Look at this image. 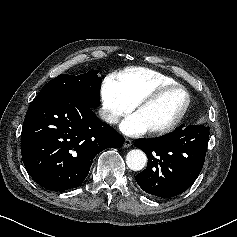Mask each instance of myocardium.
Returning <instances> with one entry per match:
<instances>
[{
  "label": "myocardium",
  "instance_id": "1",
  "mask_svg": "<svg viewBox=\"0 0 237 237\" xmlns=\"http://www.w3.org/2000/svg\"><path fill=\"white\" fill-rule=\"evenodd\" d=\"M172 90H182L185 95H186V101L185 104L183 105L182 109L180 112L176 115V117L167 125L159 128H153L147 130L148 134L157 136V135H164L167 133H170L173 131L179 123L182 121L184 118L185 114L187 113L190 103H191V96L189 91L180 84H169V85H163L158 88H156L154 91L149 93L148 95L144 96L141 98L135 105H134V111L137 112L138 110L142 109L143 107L155 102L158 100L161 96H163L165 93L172 91Z\"/></svg>",
  "mask_w": 237,
  "mask_h": 237
}]
</instances>
